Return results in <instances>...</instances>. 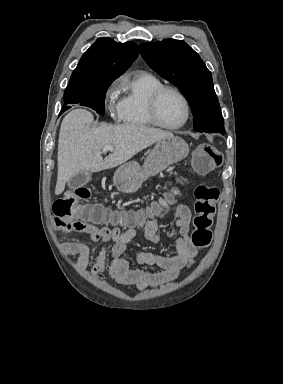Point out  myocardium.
<instances>
[{
	"mask_svg": "<svg viewBox=\"0 0 283 384\" xmlns=\"http://www.w3.org/2000/svg\"><path fill=\"white\" fill-rule=\"evenodd\" d=\"M166 92H172V93L176 94L182 100V102L184 104L185 118H184L183 122L180 123L179 125L166 126L163 123H161V121L158 118V114H157L158 103H159L160 98ZM146 113H147L149 120L151 121V123L154 126L160 128V129H163V130L176 131V130L182 129L183 127H185L187 125V123L189 122V119H190L191 109H190V104H189L188 99L180 90H178L177 88L172 87V86L164 85V86H161L160 88H158L157 90H155L152 93V95L148 98L147 103H146Z\"/></svg>",
	"mask_w": 283,
	"mask_h": 384,
	"instance_id": "1",
	"label": "myocardium"
}]
</instances>
